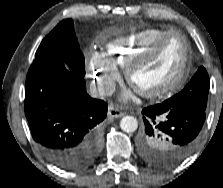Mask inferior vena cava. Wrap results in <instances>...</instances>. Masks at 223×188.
Returning <instances> with one entry per match:
<instances>
[{
  "instance_id": "obj_1",
  "label": "inferior vena cava",
  "mask_w": 223,
  "mask_h": 188,
  "mask_svg": "<svg viewBox=\"0 0 223 188\" xmlns=\"http://www.w3.org/2000/svg\"><path fill=\"white\" fill-rule=\"evenodd\" d=\"M115 91V84L112 81H99L90 84V94L94 98L111 96Z\"/></svg>"
}]
</instances>
